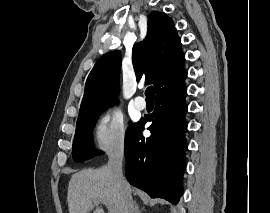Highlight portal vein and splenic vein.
<instances>
[{
  "label": "portal vein and splenic vein",
  "instance_id": "1",
  "mask_svg": "<svg viewBox=\"0 0 270 213\" xmlns=\"http://www.w3.org/2000/svg\"><path fill=\"white\" fill-rule=\"evenodd\" d=\"M102 203H103L105 206H107V207L109 208V210H110L109 213H115V212L111 209V207L109 206V204H108L106 201H102Z\"/></svg>",
  "mask_w": 270,
  "mask_h": 213
}]
</instances>
